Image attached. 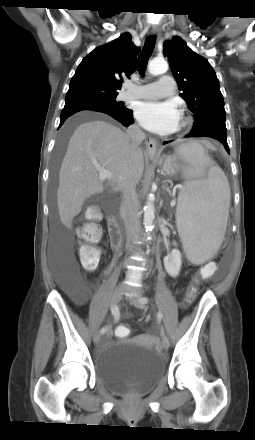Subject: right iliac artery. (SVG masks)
I'll return each instance as SVG.
<instances>
[{"label": "right iliac artery", "mask_w": 255, "mask_h": 440, "mask_svg": "<svg viewBox=\"0 0 255 440\" xmlns=\"http://www.w3.org/2000/svg\"><path fill=\"white\" fill-rule=\"evenodd\" d=\"M111 313L114 317V321L117 322L120 318V313L116 305L111 307ZM107 329H108L107 327H103L100 330V334H104L107 331Z\"/></svg>", "instance_id": "obj_1"}]
</instances>
